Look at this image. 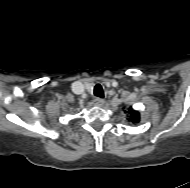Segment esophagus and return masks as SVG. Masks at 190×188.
<instances>
[{
  "mask_svg": "<svg viewBox=\"0 0 190 188\" xmlns=\"http://www.w3.org/2000/svg\"><path fill=\"white\" fill-rule=\"evenodd\" d=\"M104 103H105V100H104V99H101V98H95V99L93 100V104H94L95 106L101 107V106L104 105Z\"/></svg>",
  "mask_w": 190,
  "mask_h": 188,
  "instance_id": "esophagus-1",
  "label": "esophagus"
}]
</instances>
